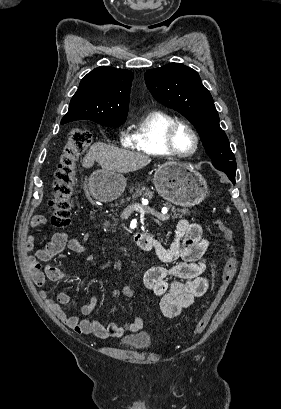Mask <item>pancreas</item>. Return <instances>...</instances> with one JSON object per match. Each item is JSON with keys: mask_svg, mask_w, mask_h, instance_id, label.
Returning a JSON list of instances; mask_svg holds the SVG:
<instances>
[{"mask_svg": "<svg viewBox=\"0 0 281 409\" xmlns=\"http://www.w3.org/2000/svg\"><path fill=\"white\" fill-rule=\"evenodd\" d=\"M129 192H133V194L132 196H128L127 200H130V198H152L153 196V190H149V188H146V186H140V184H137V186H132ZM168 207L173 213V219H181V217L185 215L183 209H175V207H172V205H168ZM168 217H170V215ZM168 219L164 221H168Z\"/></svg>", "mask_w": 281, "mask_h": 409, "instance_id": "obj_1", "label": "pancreas"}]
</instances>
